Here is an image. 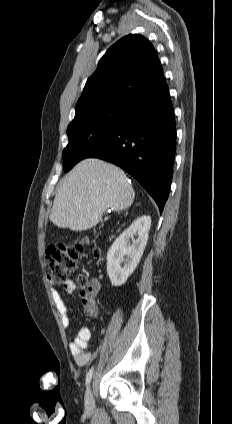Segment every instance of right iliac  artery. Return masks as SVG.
Instances as JSON below:
<instances>
[{
    "instance_id": "right-iliac-artery-1",
    "label": "right iliac artery",
    "mask_w": 232,
    "mask_h": 424,
    "mask_svg": "<svg viewBox=\"0 0 232 424\" xmlns=\"http://www.w3.org/2000/svg\"><path fill=\"white\" fill-rule=\"evenodd\" d=\"M92 374H93V367L89 370V372L86 375V386L89 385V383L91 382L92 379Z\"/></svg>"
}]
</instances>
